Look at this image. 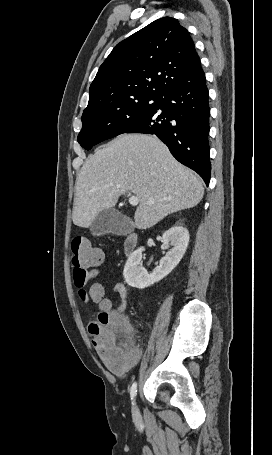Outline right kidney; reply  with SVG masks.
<instances>
[{"label":"right kidney","instance_id":"right-kidney-1","mask_svg":"<svg viewBox=\"0 0 272 455\" xmlns=\"http://www.w3.org/2000/svg\"><path fill=\"white\" fill-rule=\"evenodd\" d=\"M162 243L163 250L169 246H172V249L160 260L159 266L151 274L142 266L144 247H139L130 255L123 271L129 286L143 289L165 278L183 258L189 243V232L183 226H174L163 234Z\"/></svg>","mask_w":272,"mask_h":455}]
</instances>
